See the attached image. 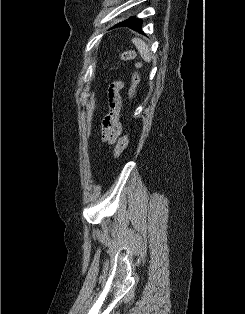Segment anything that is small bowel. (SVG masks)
<instances>
[{
    "mask_svg": "<svg viewBox=\"0 0 245 314\" xmlns=\"http://www.w3.org/2000/svg\"><path fill=\"white\" fill-rule=\"evenodd\" d=\"M122 88L121 81L113 82L108 89L109 113L103 118L101 138L104 142L114 143L121 133L119 91Z\"/></svg>",
    "mask_w": 245,
    "mask_h": 314,
    "instance_id": "small-bowel-1",
    "label": "small bowel"
}]
</instances>
